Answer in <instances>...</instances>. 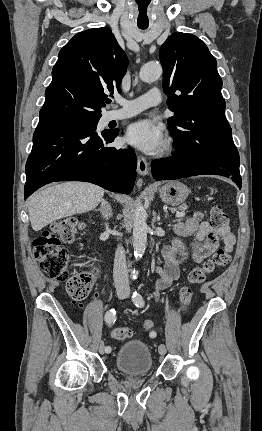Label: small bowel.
Segmentation results:
<instances>
[{
  "label": "small bowel",
  "instance_id": "1",
  "mask_svg": "<svg viewBox=\"0 0 262 431\" xmlns=\"http://www.w3.org/2000/svg\"><path fill=\"white\" fill-rule=\"evenodd\" d=\"M202 218L201 212H195L191 218L175 225L176 237L162 251L164 264L158 270L160 277L155 285L156 296L161 290L179 280L180 264L189 252L196 261L200 262L217 250L219 240L223 242L227 251L232 250L235 236L230 228L228 226L213 227L209 222L201 221ZM190 236L194 238V241L188 247L182 238ZM156 336L154 331L150 332L151 338Z\"/></svg>",
  "mask_w": 262,
  "mask_h": 431
}]
</instances>
